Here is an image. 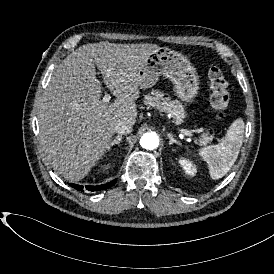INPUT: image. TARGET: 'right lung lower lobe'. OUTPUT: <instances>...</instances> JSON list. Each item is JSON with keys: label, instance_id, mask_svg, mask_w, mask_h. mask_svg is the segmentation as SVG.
Here are the masks:
<instances>
[{"label": "right lung lower lobe", "instance_id": "98d812e1", "mask_svg": "<svg viewBox=\"0 0 274 274\" xmlns=\"http://www.w3.org/2000/svg\"><path fill=\"white\" fill-rule=\"evenodd\" d=\"M116 183V180H113L109 183L103 184V185H97V186H86L85 188L83 186L77 185V184H69L71 185L73 188H75L76 190L79 191H83L84 189L88 190V191H100V190H106L108 188H110L111 186H113Z\"/></svg>", "mask_w": 274, "mask_h": 274}]
</instances>
